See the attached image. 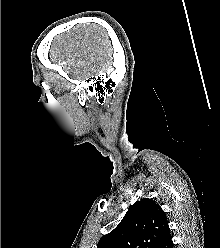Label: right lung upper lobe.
Returning <instances> with one entry per match:
<instances>
[{
    "label": "right lung upper lobe",
    "instance_id": "right-lung-upper-lobe-1",
    "mask_svg": "<svg viewBox=\"0 0 220 248\" xmlns=\"http://www.w3.org/2000/svg\"><path fill=\"white\" fill-rule=\"evenodd\" d=\"M170 236L161 207L143 198L129 208L113 231L100 239L97 248H161Z\"/></svg>",
    "mask_w": 220,
    "mask_h": 248
}]
</instances>
